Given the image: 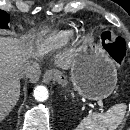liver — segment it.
<instances>
[{
	"label": "liver",
	"instance_id": "6515ba94",
	"mask_svg": "<svg viewBox=\"0 0 130 130\" xmlns=\"http://www.w3.org/2000/svg\"><path fill=\"white\" fill-rule=\"evenodd\" d=\"M24 46L0 37V122L10 113L20 96L21 67L28 58ZM72 56H66L58 66L66 69Z\"/></svg>",
	"mask_w": 130,
	"mask_h": 130
}]
</instances>
